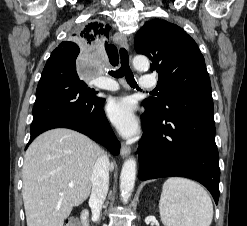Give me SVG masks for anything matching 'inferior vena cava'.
Masks as SVG:
<instances>
[{"label": "inferior vena cava", "instance_id": "obj_1", "mask_svg": "<svg viewBox=\"0 0 247 226\" xmlns=\"http://www.w3.org/2000/svg\"><path fill=\"white\" fill-rule=\"evenodd\" d=\"M109 167V158L107 155H101L93 168L91 177L92 192L89 199V205L95 220L99 219L102 205L107 196L109 187Z\"/></svg>", "mask_w": 247, "mask_h": 226}]
</instances>
